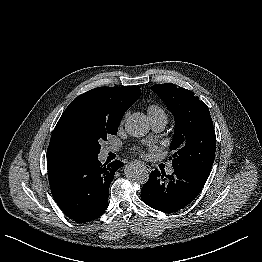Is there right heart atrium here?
Returning <instances> with one entry per match:
<instances>
[{
	"mask_svg": "<svg viewBox=\"0 0 262 262\" xmlns=\"http://www.w3.org/2000/svg\"><path fill=\"white\" fill-rule=\"evenodd\" d=\"M127 116H128V112L124 115L123 121L127 118Z\"/></svg>",
	"mask_w": 262,
	"mask_h": 262,
	"instance_id": "right-heart-atrium-1",
	"label": "right heart atrium"
}]
</instances>
